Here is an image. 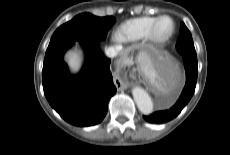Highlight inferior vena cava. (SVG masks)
<instances>
[{
	"mask_svg": "<svg viewBox=\"0 0 230 155\" xmlns=\"http://www.w3.org/2000/svg\"><path fill=\"white\" fill-rule=\"evenodd\" d=\"M119 51H120L119 46H112V47H108L105 50V53H106L107 57L114 58L115 56L118 55Z\"/></svg>",
	"mask_w": 230,
	"mask_h": 155,
	"instance_id": "obj_1",
	"label": "inferior vena cava"
}]
</instances>
